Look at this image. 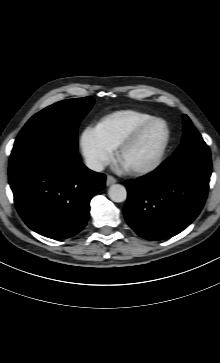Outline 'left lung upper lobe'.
Segmentation results:
<instances>
[{"instance_id":"5c2ea615","label":"left lung upper lobe","mask_w":220,"mask_h":363,"mask_svg":"<svg viewBox=\"0 0 220 363\" xmlns=\"http://www.w3.org/2000/svg\"><path fill=\"white\" fill-rule=\"evenodd\" d=\"M184 135L181 145L174 153H178L187 149L209 150V147L203 141L201 135L197 132L187 115H183Z\"/></svg>"}]
</instances>
